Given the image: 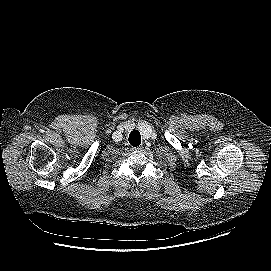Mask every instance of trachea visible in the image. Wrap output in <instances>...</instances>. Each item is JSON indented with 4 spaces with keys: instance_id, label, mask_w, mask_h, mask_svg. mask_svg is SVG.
<instances>
[{
    "instance_id": "1",
    "label": "trachea",
    "mask_w": 271,
    "mask_h": 271,
    "mask_svg": "<svg viewBox=\"0 0 271 271\" xmlns=\"http://www.w3.org/2000/svg\"><path fill=\"white\" fill-rule=\"evenodd\" d=\"M128 141H129L130 145L133 147L139 146L141 144L140 133L136 130H133L129 135Z\"/></svg>"
}]
</instances>
